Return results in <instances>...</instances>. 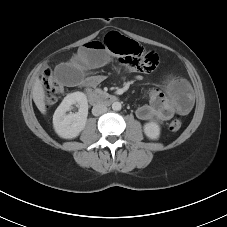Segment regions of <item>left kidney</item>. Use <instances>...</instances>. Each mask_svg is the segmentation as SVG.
Returning <instances> with one entry per match:
<instances>
[{
  "instance_id": "obj_1",
  "label": "left kidney",
  "mask_w": 227,
  "mask_h": 227,
  "mask_svg": "<svg viewBox=\"0 0 227 227\" xmlns=\"http://www.w3.org/2000/svg\"><path fill=\"white\" fill-rule=\"evenodd\" d=\"M144 133L148 138L156 140L160 136V126L155 122L146 123L144 125Z\"/></svg>"
}]
</instances>
